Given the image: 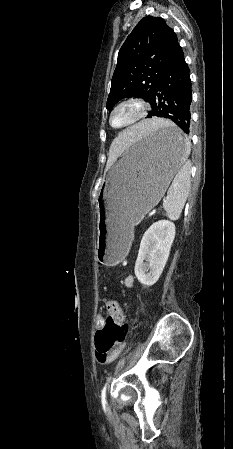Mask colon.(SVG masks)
<instances>
[{
	"label": "colon",
	"instance_id": "obj_1",
	"mask_svg": "<svg viewBox=\"0 0 233 449\" xmlns=\"http://www.w3.org/2000/svg\"><path fill=\"white\" fill-rule=\"evenodd\" d=\"M105 306L108 311L105 328L98 331L95 336V349L99 355L107 354L119 348L129 333V323L123 321L118 303L115 300L107 299Z\"/></svg>",
	"mask_w": 233,
	"mask_h": 449
}]
</instances>
